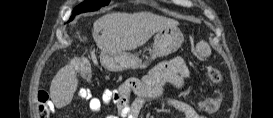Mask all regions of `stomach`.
<instances>
[{"label":"stomach","mask_w":273,"mask_h":118,"mask_svg":"<svg viewBox=\"0 0 273 118\" xmlns=\"http://www.w3.org/2000/svg\"><path fill=\"white\" fill-rule=\"evenodd\" d=\"M184 40L181 30L176 27H165L156 32L150 60L165 57L178 50ZM101 64L109 71H122L125 69L144 68L147 63H142L138 56L127 53H107L100 55Z\"/></svg>","instance_id":"stomach-1"}]
</instances>
